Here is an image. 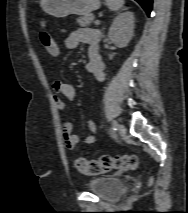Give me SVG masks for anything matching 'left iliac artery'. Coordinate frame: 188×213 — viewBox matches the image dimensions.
<instances>
[{
    "mask_svg": "<svg viewBox=\"0 0 188 213\" xmlns=\"http://www.w3.org/2000/svg\"><path fill=\"white\" fill-rule=\"evenodd\" d=\"M112 130L114 132L117 130V123H116V121H113V123H112Z\"/></svg>",
    "mask_w": 188,
    "mask_h": 213,
    "instance_id": "44dca946",
    "label": "left iliac artery"
}]
</instances>
